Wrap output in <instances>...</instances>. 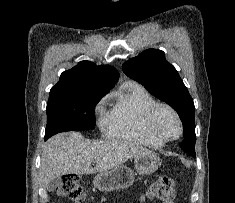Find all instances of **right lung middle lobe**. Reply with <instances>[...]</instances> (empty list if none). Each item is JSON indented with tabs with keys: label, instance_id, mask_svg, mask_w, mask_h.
<instances>
[{
	"label": "right lung middle lobe",
	"instance_id": "dd1d6c3e",
	"mask_svg": "<svg viewBox=\"0 0 235 203\" xmlns=\"http://www.w3.org/2000/svg\"><path fill=\"white\" fill-rule=\"evenodd\" d=\"M107 92L87 88L51 89L45 139L64 131L95 127V106Z\"/></svg>",
	"mask_w": 235,
	"mask_h": 203
}]
</instances>
